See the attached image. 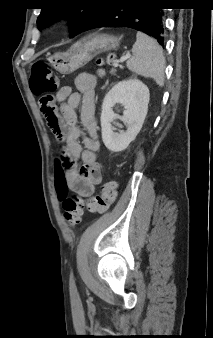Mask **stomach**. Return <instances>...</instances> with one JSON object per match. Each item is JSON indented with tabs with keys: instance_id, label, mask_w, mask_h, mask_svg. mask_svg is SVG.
<instances>
[{
	"instance_id": "obj_1",
	"label": "stomach",
	"mask_w": 213,
	"mask_h": 338,
	"mask_svg": "<svg viewBox=\"0 0 213 338\" xmlns=\"http://www.w3.org/2000/svg\"><path fill=\"white\" fill-rule=\"evenodd\" d=\"M119 39L107 34H91L76 43L65 53L51 58L52 66L61 74H71L90 62L101 52L119 47Z\"/></svg>"
}]
</instances>
